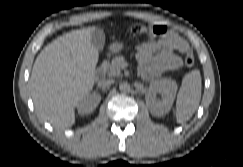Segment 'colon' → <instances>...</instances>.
Wrapping results in <instances>:
<instances>
[{"instance_id":"obj_1","label":"colon","mask_w":243,"mask_h":167,"mask_svg":"<svg viewBox=\"0 0 243 167\" xmlns=\"http://www.w3.org/2000/svg\"><path fill=\"white\" fill-rule=\"evenodd\" d=\"M125 29L130 35L141 38L159 36L164 34L167 30L166 26L160 23L152 25L136 23L127 26ZM184 63L188 68H191L194 65V57L189 50L185 52Z\"/></svg>"}]
</instances>
